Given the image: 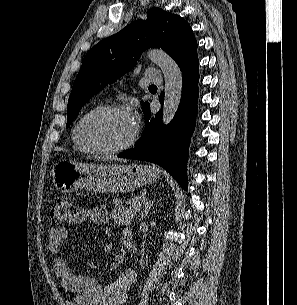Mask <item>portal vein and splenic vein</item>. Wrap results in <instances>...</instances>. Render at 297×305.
I'll use <instances>...</instances> for the list:
<instances>
[{
    "instance_id": "18ae733b",
    "label": "portal vein and splenic vein",
    "mask_w": 297,
    "mask_h": 305,
    "mask_svg": "<svg viewBox=\"0 0 297 305\" xmlns=\"http://www.w3.org/2000/svg\"><path fill=\"white\" fill-rule=\"evenodd\" d=\"M134 210L138 211L141 207V204L139 202H136L135 204H133Z\"/></svg>"
}]
</instances>
